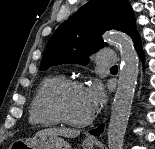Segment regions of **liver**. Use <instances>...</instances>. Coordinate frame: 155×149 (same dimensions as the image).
I'll use <instances>...</instances> for the list:
<instances>
[{"instance_id":"liver-1","label":"liver","mask_w":155,"mask_h":149,"mask_svg":"<svg viewBox=\"0 0 155 149\" xmlns=\"http://www.w3.org/2000/svg\"><path fill=\"white\" fill-rule=\"evenodd\" d=\"M40 134H48V135H57V136H64V137H71L75 138L80 135L79 130L74 129H68V128H62V129H44L39 131L36 135Z\"/></svg>"}]
</instances>
